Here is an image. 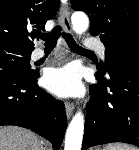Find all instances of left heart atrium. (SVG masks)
Masks as SVG:
<instances>
[{
	"instance_id": "obj_1",
	"label": "left heart atrium",
	"mask_w": 139,
	"mask_h": 150,
	"mask_svg": "<svg viewBox=\"0 0 139 150\" xmlns=\"http://www.w3.org/2000/svg\"><path fill=\"white\" fill-rule=\"evenodd\" d=\"M43 83L50 92L59 97L79 96L83 91L79 70L74 66L48 70Z\"/></svg>"
}]
</instances>
